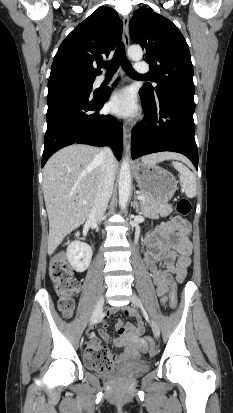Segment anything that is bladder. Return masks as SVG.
<instances>
[{"label": "bladder", "mask_w": 233, "mask_h": 413, "mask_svg": "<svg viewBox=\"0 0 233 413\" xmlns=\"http://www.w3.org/2000/svg\"><path fill=\"white\" fill-rule=\"evenodd\" d=\"M149 370V366L146 364H139L136 365L134 367L129 368L128 370H126L125 372L119 374V377L122 378H129V377H134V376H138V375H142L146 372H148ZM107 376H113L111 374L105 373Z\"/></svg>", "instance_id": "bladder-1"}]
</instances>
